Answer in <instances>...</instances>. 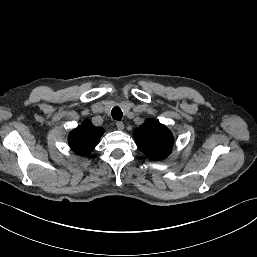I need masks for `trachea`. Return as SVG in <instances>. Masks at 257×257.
<instances>
[{
    "label": "trachea",
    "instance_id": "obj_1",
    "mask_svg": "<svg viewBox=\"0 0 257 257\" xmlns=\"http://www.w3.org/2000/svg\"><path fill=\"white\" fill-rule=\"evenodd\" d=\"M111 115L114 120H121L122 119V110L119 107H114L111 111Z\"/></svg>",
    "mask_w": 257,
    "mask_h": 257
}]
</instances>
